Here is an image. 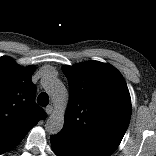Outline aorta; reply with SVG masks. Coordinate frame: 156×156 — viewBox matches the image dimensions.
I'll use <instances>...</instances> for the list:
<instances>
[{
    "label": "aorta",
    "mask_w": 156,
    "mask_h": 156,
    "mask_svg": "<svg viewBox=\"0 0 156 156\" xmlns=\"http://www.w3.org/2000/svg\"><path fill=\"white\" fill-rule=\"evenodd\" d=\"M43 87L54 105V110L46 121L45 130L55 135L63 128L69 96L65 86L55 78H44Z\"/></svg>",
    "instance_id": "obj_1"
}]
</instances>
